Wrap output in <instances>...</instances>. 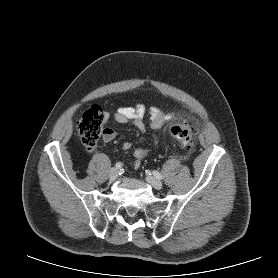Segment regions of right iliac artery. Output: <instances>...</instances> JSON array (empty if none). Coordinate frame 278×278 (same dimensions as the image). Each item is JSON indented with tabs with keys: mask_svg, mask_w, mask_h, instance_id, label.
I'll list each match as a JSON object with an SVG mask.
<instances>
[{
	"mask_svg": "<svg viewBox=\"0 0 278 278\" xmlns=\"http://www.w3.org/2000/svg\"><path fill=\"white\" fill-rule=\"evenodd\" d=\"M115 167H116L117 169H120V168L122 167V163H121V162L116 163Z\"/></svg>",
	"mask_w": 278,
	"mask_h": 278,
	"instance_id": "82829eb1",
	"label": "right iliac artery"
}]
</instances>
